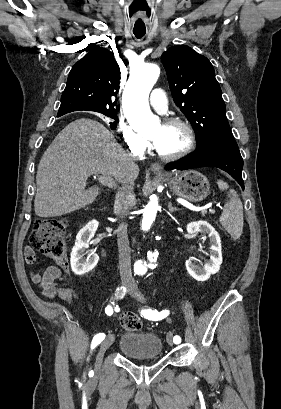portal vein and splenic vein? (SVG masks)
<instances>
[{
	"label": "portal vein and splenic vein",
	"instance_id": "18ae733b",
	"mask_svg": "<svg viewBox=\"0 0 281 409\" xmlns=\"http://www.w3.org/2000/svg\"><path fill=\"white\" fill-rule=\"evenodd\" d=\"M97 182L99 185H104L105 188L109 190L120 187L119 181H115L114 178H112V176H103V174H101V176L98 177ZM208 213L214 214L216 213V210L214 209L207 210V212L202 213V216L207 217Z\"/></svg>",
	"mask_w": 281,
	"mask_h": 409
}]
</instances>
